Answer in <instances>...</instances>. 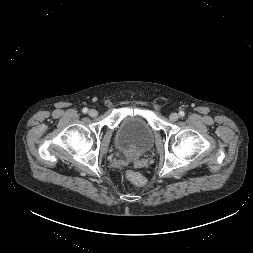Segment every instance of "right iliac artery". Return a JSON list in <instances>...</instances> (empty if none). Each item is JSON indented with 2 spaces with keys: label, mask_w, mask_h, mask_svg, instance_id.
<instances>
[{
  "label": "right iliac artery",
  "mask_w": 253,
  "mask_h": 253,
  "mask_svg": "<svg viewBox=\"0 0 253 253\" xmlns=\"http://www.w3.org/2000/svg\"><path fill=\"white\" fill-rule=\"evenodd\" d=\"M82 112H83V113H87V112H88V109H87V108H83Z\"/></svg>",
  "instance_id": "obj_1"
}]
</instances>
